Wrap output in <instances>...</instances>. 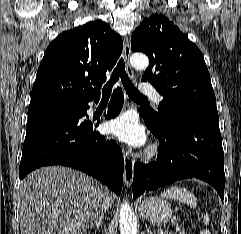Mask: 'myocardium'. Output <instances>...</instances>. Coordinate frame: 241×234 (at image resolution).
<instances>
[{"instance_id":"obj_1","label":"myocardium","mask_w":241,"mask_h":234,"mask_svg":"<svg viewBox=\"0 0 241 234\" xmlns=\"http://www.w3.org/2000/svg\"><path fill=\"white\" fill-rule=\"evenodd\" d=\"M159 148L157 145H151L145 152V157L147 159H152L158 155Z\"/></svg>"}]
</instances>
